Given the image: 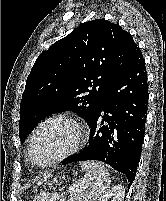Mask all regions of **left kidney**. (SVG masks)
I'll return each instance as SVG.
<instances>
[{"mask_svg":"<svg viewBox=\"0 0 166 201\" xmlns=\"http://www.w3.org/2000/svg\"><path fill=\"white\" fill-rule=\"evenodd\" d=\"M125 196V189L122 185H117L108 190L99 201H108L113 197V201H123Z\"/></svg>","mask_w":166,"mask_h":201,"instance_id":"left-kidney-1","label":"left kidney"}]
</instances>
